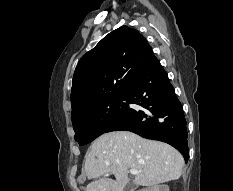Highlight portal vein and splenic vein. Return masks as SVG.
Segmentation results:
<instances>
[{"mask_svg":"<svg viewBox=\"0 0 233 191\" xmlns=\"http://www.w3.org/2000/svg\"><path fill=\"white\" fill-rule=\"evenodd\" d=\"M130 173L136 175V174L141 173V171H138L136 169H130Z\"/></svg>","mask_w":233,"mask_h":191,"instance_id":"1","label":"portal vein and splenic vein"}]
</instances>
